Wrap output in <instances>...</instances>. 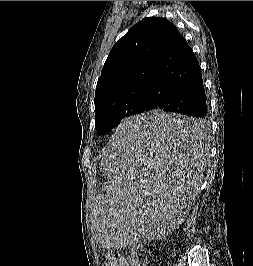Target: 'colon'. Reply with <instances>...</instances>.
Returning a JSON list of instances; mask_svg holds the SVG:
<instances>
[{"label": "colon", "instance_id": "colon-1", "mask_svg": "<svg viewBox=\"0 0 253 266\" xmlns=\"http://www.w3.org/2000/svg\"><path fill=\"white\" fill-rule=\"evenodd\" d=\"M123 261L118 254H108L104 266H122Z\"/></svg>", "mask_w": 253, "mask_h": 266}]
</instances>
